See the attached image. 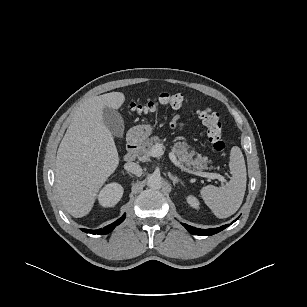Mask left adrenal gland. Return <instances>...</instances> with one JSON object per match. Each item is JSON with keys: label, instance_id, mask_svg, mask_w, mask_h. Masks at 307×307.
<instances>
[{"label": "left adrenal gland", "instance_id": "1", "mask_svg": "<svg viewBox=\"0 0 307 307\" xmlns=\"http://www.w3.org/2000/svg\"><path fill=\"white\" fill-rule=\"evenodd\" d=\"M168 176L172 180L173 185H176L178 182H180L182 184L181 179H179L177 176H174L171 173H168Z\"/></svg>", "mask_w": 307, "mask_h": 307}]
</instances>
